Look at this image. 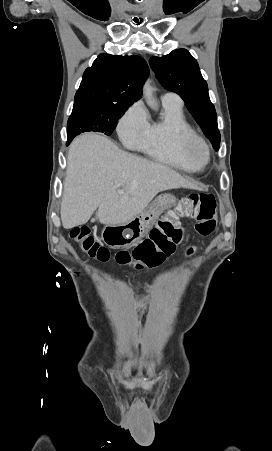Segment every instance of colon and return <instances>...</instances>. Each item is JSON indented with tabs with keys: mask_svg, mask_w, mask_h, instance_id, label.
I'll return each mask as SVG.
<instances>
[{
	"mask_svg": "<svg viewBox=\"0 0 272 451\" xmlns=\"http://www.w3.org/2000/svg\"><path fill=\"white\" fill-rule=\"evenodd\" d=\"M183 216L195 220V231L198 234L213 233L217 226L215 196L196 192L180 198L176 203V210L168 211L163 219L157 221L158 228L151 230L148 239L140 242L131 252L114 253L113 261L137 269L161 265L175 251L176 243L182 238V232L173 222ZM68 235L86 254L96 257L97 262H107L110 258V249H104L91 236L87 226L72 227Z\"/></svg>",
	"mask_w": 272,
	"mask_h": 451,
	"instance_id": "5ec220e1",
	"label": "colon"
}]
</instances>
